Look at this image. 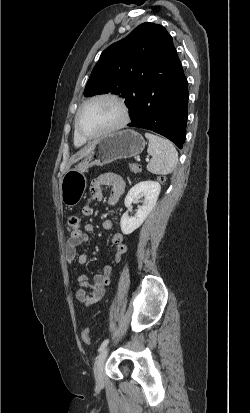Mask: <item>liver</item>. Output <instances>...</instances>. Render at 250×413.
<instances>
[{"instance_id": "6515ba94", "label": "liver", "mask_w": 250, "mask_h": 413, "mask_svg": "<svg viewBox=\"0 0 250 413\" xmlns=\"http://www.w3.org/2000/svg\"><path fill=\"white\" fill-rule=\"evenodd\" d=\"M94 145H95V142L89 144L88 146L80 150L75 156L72 157L71 163L73 164L77 162L78 160L82 159L83 157H85L94 148Z\"/></svg>"}]
</instances>
